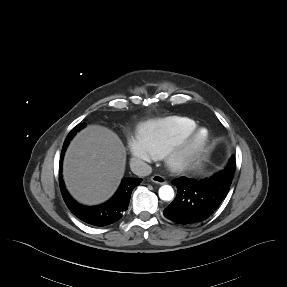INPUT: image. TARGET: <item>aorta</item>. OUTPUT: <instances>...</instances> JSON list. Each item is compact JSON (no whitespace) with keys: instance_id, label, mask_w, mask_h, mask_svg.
Returning <instances> with one entry per match:
<instances>
[{"instance_id":"aorta-1","label":"aorta","mask_w":287,"mask_h":287,"mask_svg":"<svg viewBox=\"0 0 287 287\" xmlns=\"http://www.w3.org/2000/svg\"><path fill=\"white\" fill-rule=\"evenodd\" d=\"M159 198L163 201H170L174 198V190L169 185H163L159 188Z\"/></svg>"}]
</instances>
